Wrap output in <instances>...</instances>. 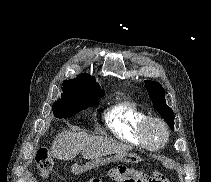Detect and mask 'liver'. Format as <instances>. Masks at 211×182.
Masks as SVG:
<instances>
[{
	"label": "liver",
	"instance_id": "obj_1",
	"mask_svg": "<svg viewBox=\"0 0 211 182\" xmlns=\"http://www.w3.org/2000/svg\"><path fill=\"white\" fill-rule=\"evenodd\" d=\"M130 150L131 146L105 137L63 131L53 141L50 154L62 160H71L82 152L85 159L97 160L105 155L122 154Z\"/></svg>",
	"mask_w": 211,
	"mask_h": 182
}]
</instances>
